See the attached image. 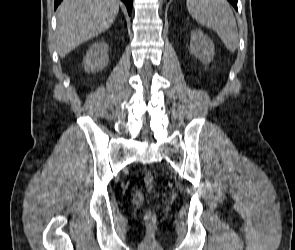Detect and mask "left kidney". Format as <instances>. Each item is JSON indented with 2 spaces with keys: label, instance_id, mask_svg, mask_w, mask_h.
Listing matches in <instances>:
<instances>
[{
  "label": "left kidney",
  "instance_id": "obj_1",
  "mask_svg": "<svg viewBox=\"0 0 295 250\" xmlns=\"http://www.w3.org/2000/svg\"><path fill=\"white\" fill-rule=\"evenodd\" d=\"M190 52L207 64L213 60L215 55L214 44L202 31L195 29L191 32Z\"/></svg>",
  "mask_w": 295,
  "mask_h": 250
}]
</instances>
